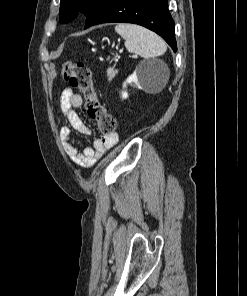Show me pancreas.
Masks as SVG:
<instances>
[{
  "label": "pancreas",
  "instance_id": "obj_1",
  "mask_svg": "<svg viewBox=\"0 0 247 296\" xmlns=\"http://www.w3.org/2000/svg\"><path fill=\"white\" fill-rule=\"evenodd\" d=\"M118 73V70L114 69V67H109L107 69V77H108V80H112L115 75Z\"/></svg>",
  "mask_w": 247,
  "mask_h": 296
}]
</instances>
